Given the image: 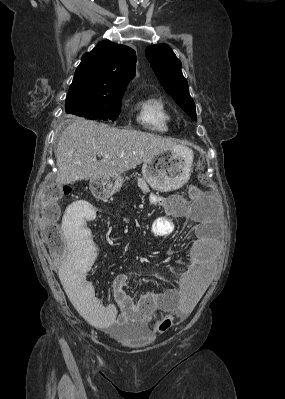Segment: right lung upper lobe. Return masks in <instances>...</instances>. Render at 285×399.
<instances>
[{"label":"right lung upper lobe","mask_w":285,"mask_h":399,"mask_svg":"<svg viewBox=\"0 0 285 399\" xmlns=\"http://www.w3.org/2000/svg\"><path fill=\"white\" fill-rule=\"evenodd\" d=\"M135 51L111 41H101L82 56L68 95L111 96L126 90L135 75Z\"/></svg>","instance_id":"cb5924a9"}]
</instances>
